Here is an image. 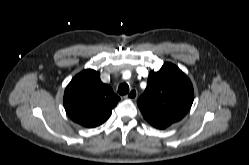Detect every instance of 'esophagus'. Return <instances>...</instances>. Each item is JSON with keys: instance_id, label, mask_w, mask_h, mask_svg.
<instances>
[{"instance_id": "1", "label": "esophagus", "mask_w": 249, "mask_h": 165, "mask_svg": "<svg viewBox=\"0 0 249 165\" xmlns=\"http://www.w3.org/2000/svg\"><path fill=\"white\" fill-rule=\"evenodd\" d=\"M138 96V92L136 89H131L130 92L126 95V98L131 100H136Z\"/></svg>"}]
</instances>
